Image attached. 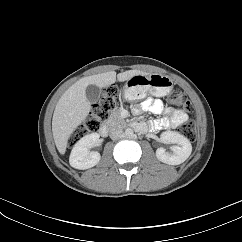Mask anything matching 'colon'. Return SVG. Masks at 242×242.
<instances>
[{"instance_id":"colon-1","label":"colon","mask_w":242,"mask_h":242,"mask_svg":"<svg viewBox=\"0 0 242 242\" xmlns=\"http://www.w3.org/2000/svg\"><path fill=\"white\" fill-rule=\"evenodd\" d=\"M119 90L116 86H109L104 91L101 100L94 106L90 115L70 136L69 143L75 144L84 136L98 132L102 124L107 120L109 114L116 108ZM167 102L170 106L185 111H191L192 106L187 97L179 90H175L168 96ZM181 133L193 141L196 136L195 126L192 122L184 124Z\"/></svg>"}]
</instances>
